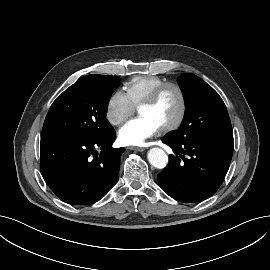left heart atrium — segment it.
I'll return each mask as SVG.
<instances>
[{"label":"left heart atrium","mask_w":270,"mask_h":270,"mask_svg":"<svg viewBox=\"0 0 270 270\" xmlns=\"http://www.w3.org/2000/svg\"><path fill=\"white\" fill-rule=\"evenodd\" d=\"M160 130L149 117L140 116L126 122L118 131V140L125 146H140Z\"/></svg>","instance_id":"left-heart-atrium-1"}]
</instances>
